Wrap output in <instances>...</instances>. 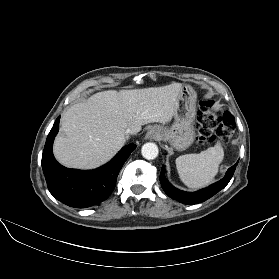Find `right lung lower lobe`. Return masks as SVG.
<instances>
[{"label":"right lung lower lobe","mask_w":279,"mask_h":279,"mask_svg":"<svg viewBox=\"0 0 279 279\" xmlns=\"http://www.w3.org/2000/svg\"><path fill=\"white\" fill-rule=\"evenodd\" d=\"M59 120L60 117L48 134L42 155V168L49 191L57 200L75 208L90 207L106 200L115 188L119 171L136 145L123 147L109 163L98 169H68L56 161L52 152Z\"/></svg>","instance_id":"right-lung-lower-lobe-1"}]
</instances>
